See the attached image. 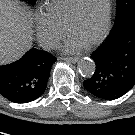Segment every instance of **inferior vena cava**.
Masks as SVG:
<instances>
[{"label": "inferior vena cava", "mask_w": 135, "mask_h": 135, "mask_svg": "<svg viewBox=\"0 0 135 135\" xmlns=\"http://www.w3.org/2000/svg\"><path fill=\"white\" fill-rule=\"evenodd\" d=\"M40 46L45 50H52L59 48L60 42L53 36H46L41 40Z\"/></svg>", "instance_id": "602c4592"}]
</instances>
